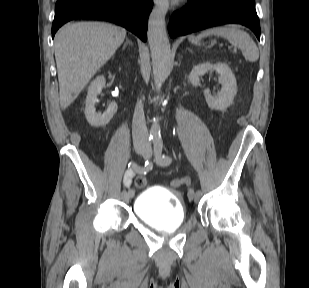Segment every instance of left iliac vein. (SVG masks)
Returning a JSON list of instances; mask_svg holds the SVG:
<instances>
[{
    "mask_svg": "<svg viewBox=\"0 0 309 288\" xmlns=\"http://www.w3.org/2000/svg\"><path fill=\"white\" fill-rule=\"evenodd\" d=\"M151 156V152L150 151H147V155L145 156L146 158L147 157H150ZM188 198L190 200H195V201H198L200 199V196H196L195 193L193 194V190L189 191L188 193Z\"/></svg>",
    "mask_w": 309,
    "mask_h": 288,
    "instance_id": "1",
    "label": "left iliac vein"
}]
</instances>
